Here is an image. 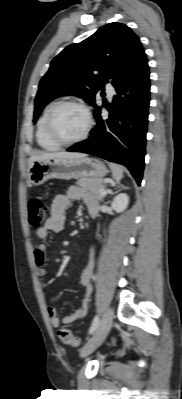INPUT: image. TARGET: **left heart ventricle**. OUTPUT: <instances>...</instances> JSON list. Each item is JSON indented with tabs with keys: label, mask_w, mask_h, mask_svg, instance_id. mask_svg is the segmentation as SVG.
<instances>
[{
	"label": "left heart ventricle",
	"mask_w": 182,
	"mask_h": 399,
	"mask_svg": "<svg viewBox=\"0 0 182 399\" xmlns=\"http://www.w3.org/2000/svg\"><path fill=\"white\" fill-rule=\"evenodd\" d=\"M87 119L84 112L76 106H64L54 117V128L58 136L65 140L79 137L85 130Z\"/></svg>",
	"instance_id": "left-heart-ventricle-1"
}]
</instances>
